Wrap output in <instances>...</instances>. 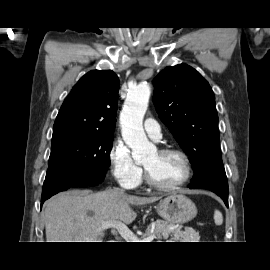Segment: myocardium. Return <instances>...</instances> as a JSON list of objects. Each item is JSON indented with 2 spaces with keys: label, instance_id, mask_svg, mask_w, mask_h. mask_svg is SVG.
Returning a JSON list of instances; mask_svg holds the SVG:
<instances>
[{
  "label": "myocardium",
  "instance_id": "obj_1",
  "mask_svg": "<svg viewBox=\"0 0 270 270\" xmlns=\"http://www.w3.org/2000/svg\"><path fill=\"white\" fill-rule=\"evenodd\" d=\"M158 152L161 154H175L180 157L183 166H184V175L183 177L176 183L171 184V185H161L156 183L155 181L152 180L150 177L147 169L144 167V177L145 181L148 184L149 187L157 190V191H162V192H170L173 190H177L184 186L191 178L192 176V166L190 159L186 152H184L180 148H175V147H162L158 149Z\"/></svg>",
  "mask_w": 270,
  "mask_h": 270
}]
</instances>
